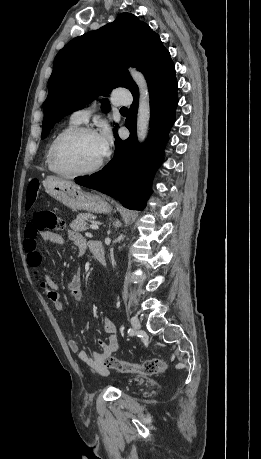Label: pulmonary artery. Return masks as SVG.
Returning <instances> with one entry per match:
<instances>
[{
	"label": "pulmonary artery",
	"instance_id": "e3ab8cb5",
	"mask_svg": "<svg viewBox=\"0 0 261 459\" xmlns=\"http://www.w3.org/2000/svg\"><path fill=\"white\" fill-rule=\"evenodd\" d=\"M130 96L120 90H116L112 94V102L115 105H127L130 103ZM95 106L86 107L83 109H79L72 113L71 119L77 123H85L88 121L90 115L95 111Z\"/></svg>",
	"mask_w": 261,
	"mask_h": 459
}]
</instances>
